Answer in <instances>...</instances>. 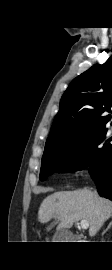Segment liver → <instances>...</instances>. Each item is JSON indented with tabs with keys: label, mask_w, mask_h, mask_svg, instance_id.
<instances>
[{
	"label": "liver",
	"mask_w": 112,
	"mask_h": 270,
	"mask_svg": "<svg viewBox=\"0 0 112 270\" xmlns=\"http://www.w3.org/2000/svg\"><path fill=\"white\" fill-rule=\"evenodd\" d=\"M112 217V201L89 189L55 192L46 197L38 210L40 223L57 218L59 228H71L80 220L89 223V235L95 236L103 223Z\"/></svg>",
	"instance_id": "6515ba94"
}]
</instances>
